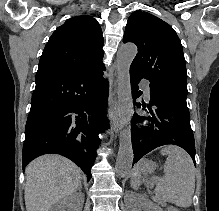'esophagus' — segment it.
<instances>
[{
  "label": "esophagus",
  "mask_w": 219,
  "mask_h": 211,
  "mask_svg": "<svg viewBox=\"0 0 219 211\" xmlns=\"http://www.w3.org/2000/svg\"><path fill=\"white\" fill-rule=\"evenodd\" d=\"M109 118L113 127V130L117 135H119V131L121 126L119 125V113H118V100L116 89L113 91L112 101L109 108Z\"/></svg>",
  "instance_id": "1"
}]
</instances>
